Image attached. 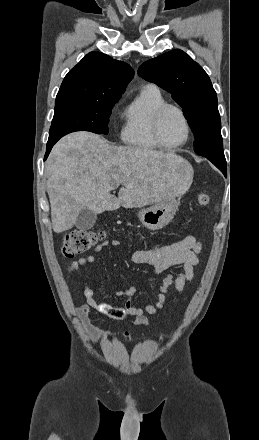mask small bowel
I'll use <instances>...</instances> for the list:
<instances>
[{
  "label": "small bowel",
  "mask_w": 259,
  "mask_h": 440,
  "mask_svg": "<svg viewBox=\"0 0 259 440\" xmlns=\"http://www.w3.org/2000/svg\"><path fill=\"white\" fill-rule=\"evenodd\" d=\"M120 244V240L117 239L112 241L106 240L98 244L95 251L99 252L108 245L118 246ZM201 250L202 244L200 240L193 234H188L177 242L155 250L135 251L132 255V261L138 265L147 266L153 275H159L175 266H180L181 268L177 275L168 273L163 278L159 293L156 296V301L153 304H148L143 307L134 305L131 300L137 293L135 287H129L116 292L117 296L128 298L124 306L116 307L109 303L96 300L93 290L88 286V283H85L83 294L87 300V304L78 308V314L86 326L87 334L101 340H110L116 336L115 333L110 331L98 330L88 325L90 308L115 319H124L127 316H133L138 325H146L148 323V315L156 314L164 307L166 303V293L170 286L173 285L179 293H182L185 288L192 283L194 279V268L200 262ZM94 262L95 256L92 254L82 257L77 261L70 262L66 267V272H77L82 267L93 264ZM123 336L129 337L130 333L125 331Z\"/></svg>",
  "instance_id": "obj_1"
}]
</instances>
